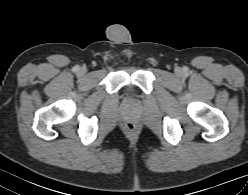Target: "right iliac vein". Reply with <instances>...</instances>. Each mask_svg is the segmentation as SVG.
<instances>
[{
	"label": "right iliac vein",
	"instance_id": "right-iliac-vein-1",
	"mask_svg": "<svg viewBox=\"0 0 248 195\" xmlns=\"http://www.w3.org/2000/svg\"><path fill=\"white\" fill-rule=\"evenodd\" d=\"M80 73H81V74H85V73H86V70H85V69H81V70H80Z\"/></svg>",
	"mask_w": 248,
	"mask_h": 195
}]
</instances>
